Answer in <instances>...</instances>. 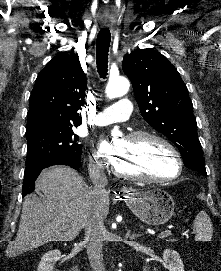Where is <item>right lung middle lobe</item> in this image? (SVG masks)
<instances>
[{
    "mask_svg": "<svg viewBox=\"0 0 221 271\" xmlns=\"http://www.w3.org/2000/svg\"><path fill=\"white\" fill-rule=\"evenodd\" d=\"M68 126H40L26 131L28 142L26 166L76 161L81 157L79 137Z\"/></svg>",
    "mask_w": 221,
    "mask_h": 271,
    "instance_id": "right-lung-middle-lobe-1",
    "label": "right lung middle lobe"
}]
</instances>
